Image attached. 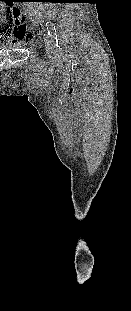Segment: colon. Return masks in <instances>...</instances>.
Here are the masks:
<instances>
[{
	"mask_svg": "<svg viewBox=\"0 0 131 311\" xmlns=\"http://www.w3.org/2000/svg\"><path fill=\"white\" fill-rule=\"evenodd\" d=\"M28 24L18 8H3L0 5V33L3 29L6 30V38H10V32L14 31L16 28H21L22 30L27 29ZM20 33L19 31H16Z\"/></svg>",
	"mask_w": 131,
	"mask_h": 311,
	"instance_id": "colon-1",
	"label": "colon"
}]
</instances>
